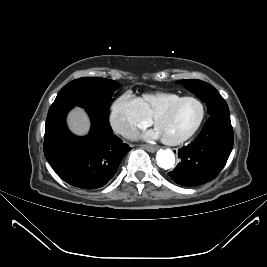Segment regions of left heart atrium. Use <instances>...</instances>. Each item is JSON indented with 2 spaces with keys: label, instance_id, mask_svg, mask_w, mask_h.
Wrapping results in <instances>:
<instances>
[{
  "label": "left heart atrium",
  "instance_id": "1",
  "mask_svg": "<svg viewBox=\"0 0 267 267\" xmlns=\"http://www.w3.org/2000/svg\"><path fill=\"white\" fill-rule=\"evenodd\" d=\"M146 136L148 138H158V137H160V134L157 130H154V131L148 132Z\"/></svg>",
  "mask_w": 267,
  "mask_h": 267
}]
</instances>
